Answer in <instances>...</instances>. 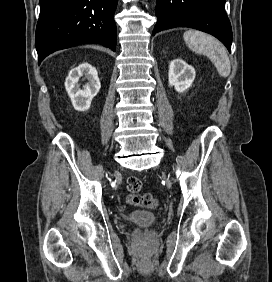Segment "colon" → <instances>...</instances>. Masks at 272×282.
Returning <instances> with one entry per match:
<instances>
[{
	"label": "colon",
	"mask_w": 272,
	"mask_h": 282,
	"mask_svg": "<svg viewBox=\"0 0 272 282\" xmlns=\"http://www.w3.org/2000/svg\"><path fill=\"white\" fill-rule=\"evenodd\" d=\"M127 188L134 195L129 197V203L134 206L153 209L157 206V199L149 193L137 194L142 188V182L137 177H130L127 180Z\"/></svg>",
	"instance_id": "1"
}]
</instances>
